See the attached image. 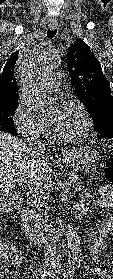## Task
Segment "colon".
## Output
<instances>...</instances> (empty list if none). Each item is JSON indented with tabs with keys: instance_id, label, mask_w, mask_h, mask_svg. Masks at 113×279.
<instances>
[{
	"instance_id": "5ec220e1",
	"label": "colon",
	"mask_w": 113,
	"mask_h": 279,
	"mask_svg": "<svg viewBox=\"0 0 113 279\" xmlns=\"http://www.w3.org/2000/svg\"><path fill=\"white\" fill-rule=\"evenodd\" d=\"M104 187L108 192L113 193V162L107 164L104 168ZM18 258L16 251H7L5 247L0 246V277L5 273L7 262L14 263Z\"/></svg>"
}]
</instances>
